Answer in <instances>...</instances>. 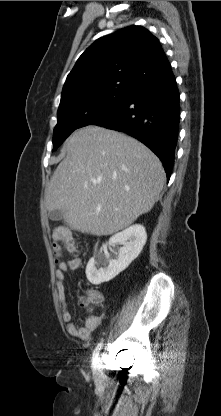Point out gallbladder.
Instances as JSON below:
<instances>
[{
    "label": "gallbladder",
    "instance_id": "gallbladder-1",
    "mask_svg": "<svg viewBox=\"0 0 221 416\" xmlns=\"http://www.w3.org/2000/svg\"><path fill=\"white\" fill-rule=\"evenodd\" d=\"M48 216L52 221H59L63 217V212L61 210L49 211Z\"/></svg>",
    "mask_w": 221,
    "mask_h": 416
}]
</instances>
